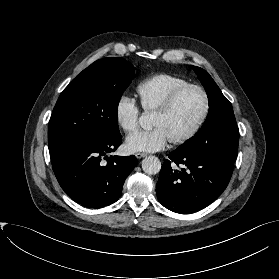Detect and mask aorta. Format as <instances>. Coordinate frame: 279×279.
Listing matches in <instances>:
<instances>
[{
  "label": "aorta",
  "mask_w": 279,
  "mask_h": 279,
  "mask_svg": "<svg viewBox=\"0 0 279 279\" xmlns=\"http://www.w3.org/2000/svg\"><path fill=\"white\" fill-rule=\"evenodd\" d=\"M139 123L145 130L150 129V119L147 114H142L139 118ZM142 169L145 173L155 175L160 172L161 162L155 156H148L142 161Z\"/></svg>",
  "instance_id": "obj_1"
}]
</instances>
